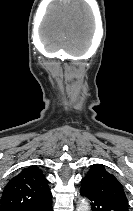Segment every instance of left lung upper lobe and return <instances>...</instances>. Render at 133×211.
I'll list each match as a JSON object with an SVG mask.
<instances>
[{
    "label": "left lung upper lobe",
    "instance_id": "5c2ea615",
    "mask_svg": "<svg viewBox=\"0 0 133 211\" xmlns=\"http://www.w3.org/2000/svg\"><path fill=\"white\" fill-rule=\"evenodd\" d=\"M82 189L128 205L122 185L102 164H94L82 179Z\"/></svg>",
    "mask_w": 133,
    "mask_h": 211
}]
</instances>
